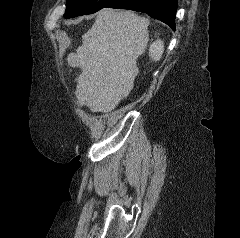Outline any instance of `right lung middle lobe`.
Segmentation results:
<instances>
[{"mask_svg":"<svg viewBox=\"0 0 240 238\" xmlns=\"http://www.w3.org/2000/svg\"><path fill=\"white\" fill-rule=\"evenodd\" d=\"M115 0H67L65 18H73L80 15L92 14L108 7Z\"/></svg>","mask_w":240,"mask_h":238,"instance_id":"obj_1","label":"right lung middle lobe"}]
</instances>
